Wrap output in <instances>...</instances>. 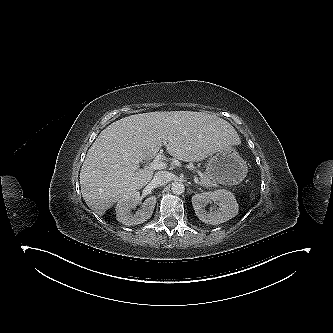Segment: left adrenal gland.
Returning a JSON list of instances; mask_svg holds the SVG:
<instances>
[{"mask_svg": "<svg viewBox=\"0 0 333 333\" xmlns=\"http://www.w3.org/2000/svg\"><path fill=\"white\" fill-rule=\"evenodd\" d=\"M196 188H198V186L197 185H194ZM198 189H201V188H198Z\"/></svg>", "mask_w": 333, "mask_h": 333, "instance_id": "obj_1", "label": "left adrenal gland"}]
</instances>
